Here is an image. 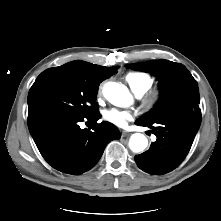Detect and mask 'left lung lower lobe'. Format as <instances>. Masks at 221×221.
I'll use <instances>...</instances> for the list:
<instances>
[{
  "label": "left lung lower lobe",
  "mask_w": 221,
  "mask_h": 221,
  "mask_svg": "<svg viewBox=\"0 0 221 221\" xmlns=\"http://www.w3.org/2000/svg\"><path fill=\"white\" fill-rule=\"evenodd\" d=\"M200 123L201 115H175L154 122L137 120L136 125L150 127L157 136L148 151L135 156L138 167L154 175L174 170L188 154Z\"/></svg>",
  "instance_id": "left-lung-lower-lobe-1"
}]
</instances>
